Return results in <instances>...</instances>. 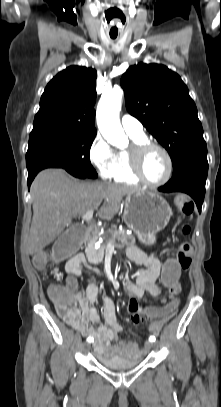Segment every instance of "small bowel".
I'll use <instances>...</instances> for the list:
<instances>
[{"label":"small bowel","instance_id":"small-bowel-1","mask_svg":"<svg viewBox=\"0 0 221 407\" xmlns=\"http://www.w3.org/2000/svg\"><path fill=\"white\" fill-rule=\"evenodd\" d=\"M129 258L137 265L143 266V270L138 274L136 282L127 281L124 290L129 296L128 313L133 323H140L143 316V307L138 304L145 293L154 297L160 296V279L162 272L163 256L159 253H146L138 248L128 249ZM87 264L84 253L72 256L66 263V270L69 274L67 285L76 291V304L66 315H60L65 322L83 335L93 338V347L99 354L116 357L122 356L128 359L137 358L143 351L136 343H125L118 341L117 335L123 330V325L118 321L115 313V304L109 297L104 299V325L96 327L100 321V316L94 307L98 302L100 287L94 276L90 273L89 280L82 291H78V280L81 276L82 265ZM43 268V267H42ZM170 299H173L181 291V286H171ZM166 298L160 299L161 305H166ZM175 313H171L170 317ZM169 317V318H170ZM169 318L155 319L150 325V332L157 333Z\"/></svg>","mask_w":221,"mask_h":407}]
</instances>
